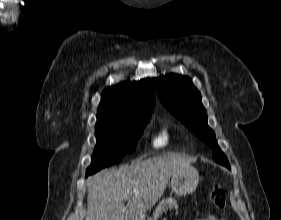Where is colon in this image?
<instances>
[{"label": "colon", "instance_id": "1", "mask_svg": "<svg viewBox=\"0 0 281 220\" xmlns=\"http://www.w3.org/2000/svg\"><path fill=\"white\" fill-rule=\"evenodd\" d=\"M210 203L219 211L223 210L226 205V195L222 187L214 184L209 193ZM204 220H219L217 216H210Z\"/></svg>", "mask_w": 281, "mask_h": 220}]
</instances>
